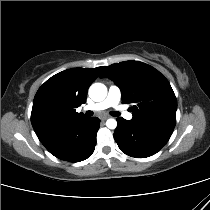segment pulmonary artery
<instances>
[{
    "label": "pulmonary artery",
    "instance_id": "1",
    "mask_svg": "<svg viewBox=\"0 0 210 210\" xmlns=\"http://www.w3.org/2000/svg\"><path fill=\"white\" fill-rule=\"evenodd\" d=\"M120 99H121V91L119 87L112 85L108 90L107 97L103 101L92 105H88L85 107V109L91 111H101L109 107H114L118 110H121V108L118 106ZM119 112H121V115L124 118L128 120L132 119V114L130 112L127 111H119Z\"/></svg>",
    "mask_w": 210,
    "mask_h": 210
}]
</instances>
